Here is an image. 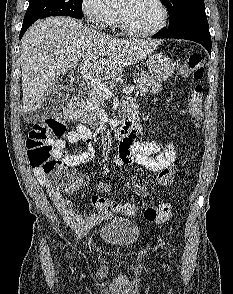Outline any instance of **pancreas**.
I'll return each instance as SVG.
<instances>
[{
	"label": "pancreas",
	"mask_w": 233,
	"mask_h": 294,
	"mask_svg": "<svg viewBox=\"0 0 233 294\" xmlns=\"http://www.w3.org/2000/svg\"><path fill=\"white\" fill-rule=\"evenodd\" d=\"M134 82L136 83L137 96H143L146 93L156 94L162 91V85L159 82L143 73L134 75ZM107 99V97L92 89L88 92L85 101L82 102L80 107L81 118L91 128L98 127L99 114L101 109L106 106L105 100Z\"/></svg>",
	"instance_id": "obj_1"
}]
</instances>
